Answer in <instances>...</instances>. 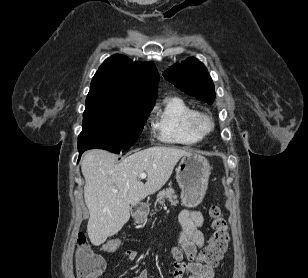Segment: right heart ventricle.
I'll return each mask as SVG.
<instances>
[{"label":"right heart ventricle","instance_id":"1","mask_svg":"<svg viewBox=\"0 0 308 278\" xmlns=\"http://www.w3.org/2000/svg\"><path fill=\"white\" fill-rule=\"evenodd\" d=\"M197 111L177 96L166 97L157 108L153 118V128L160 141L170 144L191 146L201 137L190 127V118Z\"/></svg>","mask_w":308,"mask_h":278}]
</instances>
